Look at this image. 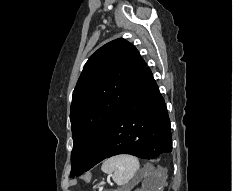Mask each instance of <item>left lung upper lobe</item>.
Returning <instances> with one entry per match:
<instances>
[{
    "instance_id": "5c2ea615",
    "label": "left lung upper lobe",
    "mask_w": 233,
    "mask_h": 191,
    "mask_svg": "<svg viewBox=\"0 0 233 191\" xmlns=\"http://www.w3.org/2000/svg\"><path fill=\"white\" fill-rule=\"evenodd\" d=\"M146 63L134 45L113 40L86 62L73 91L71 175H79L100 145Z\"/></svg>"
}]
</instances>
